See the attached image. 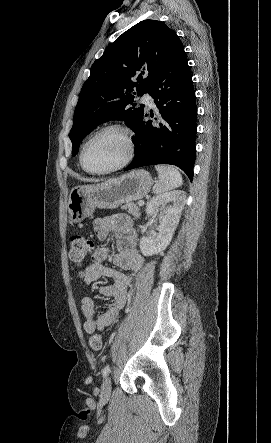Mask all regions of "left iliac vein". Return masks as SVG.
Here are the masks:
<instances>
[{
    "mask_svg": "<svg viewBox=\"0 0 271 443\" xmlns=\"http://www.w3.org/2000/svg\"><path fill=\"white\" fill-rule=\"evenodd\" d=\"M111 395V378L106 377L101 386V398L108 400Z\"/></svg>",
    "mask_w": 271,
    "mask_h": 443,
    "instance_id": "1",
    "label": "left iliac vein"
}]
</instances>
